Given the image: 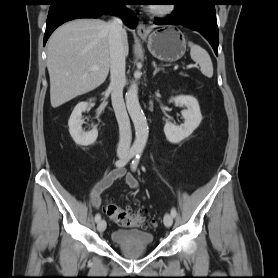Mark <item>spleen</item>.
I'll return each instance as SVG.
<instances>
[{"label":"spleen","instance_id":"obj_1","mask_svg":"<svg viewBox=\"0 0 278 278\" xmlns=\"http://www.w3.org/2000/svg\"><path fill=\"white\" fill-rule=\"evenodd\" d=\"M189 46L192 60L200 65L203 75L211 78L213 76V64L207 51L192 42H189Z\"/></svg>","mask_w":278,"mask_h":278}]
</instances>
